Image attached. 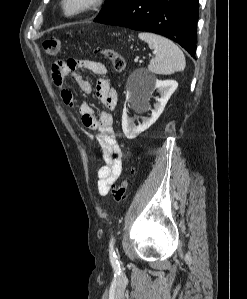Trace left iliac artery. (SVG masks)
<instances>
[{
  "label": "left iliac artery",
  "mask_w": 247,
  "mask_h": 299,
  "mask_svg": "<svg viewBox=\"0 0 247 299\" xmlns=\"http://www.w3.org/2000/svg\"><path fill=\"white\" fill-rule=\"evenodd\" d=\"M114 237L112 236L110 239V243H109V255H110V261L112 263L113 266H117L118 265V260H117V256L115 253V249H114Z\"/></svg>",
  "instance_id": "left-iliac-artery-1"
}]
</instances>
